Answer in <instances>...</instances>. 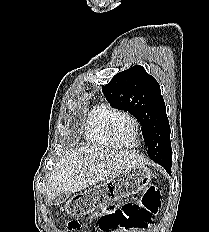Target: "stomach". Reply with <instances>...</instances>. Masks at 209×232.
Returning a JSON list of instances; mask_svg holds the SVG:
<instances>
[{
	"mask_svg": "<svg viewBox=\"0 0 209 232\" xmlns=\"http://www.w3.org/2000/svg\"><path fill=\"white\" fill-rule=\"evenodd\" d=\"M152 171L144 166H138L129 171H120V176H113L102 186H94L84 194H73V198L65 201V213L73 218H84L85 214H93L98 209L103 210L107 203L118 199H126L144 189L150 182Z\"/></svg>",
	"mask_w": 209,
	"mask_h": 232,
	"instance_id": "stomach-1",
	"label": "stomach"
}]
</instances>
